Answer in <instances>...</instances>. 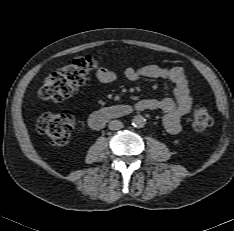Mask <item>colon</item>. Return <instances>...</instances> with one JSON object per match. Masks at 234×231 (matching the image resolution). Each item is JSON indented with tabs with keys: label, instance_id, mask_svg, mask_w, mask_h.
I'll return each mask as SVG.
<instances>
[{
	"label": "colon",
	"instance_id": "1",
	"mask_svg": "<svg viewBox=\"0 0 234 231\" xmlns=\"http://www.w3.org/2000/svg\"><path fill=\"white\" fill-rule=\"evenodd\" d=\"M102 62L89 55L81 56L49 75L38 91L40 98L62 101L85 83L94 72L102 67ZM75 117L71 112L42 113L37 119L40 133L47 136L53 145H64L74 128ZM212 125V117L203 105H197L192 114V126L198 132H204Z\"/></svg>",
	"mask_w": 234,
	"mask_h": 231
}]
</instances>
